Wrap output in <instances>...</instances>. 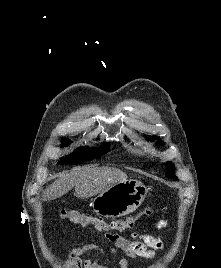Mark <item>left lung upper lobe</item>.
<instances>
[{
  "mask_svg": "<svg viewBox=\"0 0 221 268\" xmlns=\"http://www.w3.org/2000/svg\"><path fill=\"white\" fill-rule=\"evenodd\" d=\"M168 165V169H167V173L166 176L170 179H177V177L174 175L173 173V169H174V165L172 162H167Z\"/></svg>",
  "mask_w": 221,
  "mask_h": 268,
  "instance_id": "1",
  "label": "left lung upper lobe"
}]
</instances>
